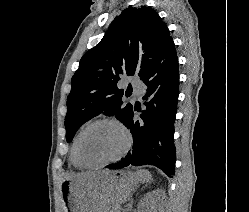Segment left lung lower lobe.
<instances>
[{
    "instance_id": "left-lung-lower-lobe-1",
    "label": "left lung lower lobe",
    "mask_w": 249,
    "mask_h": 212,
    "mask_svg": "<svg viewBox=\"0 0 249 212\" xmlns=\"http://www.w3.org/2000/svg\"><path fill=\"white\" fill-rule=\"evenodd\" d=\"M141 80L146 84L145 110L129 109L122 123L133 136V150L120 162L106 166L121 169L129 165H154L169 177L175 172L174 121L179 95L178 58L173 40L160 52ZM136 111L141 120H133Z\"/></svg>"
}]
</instances>
